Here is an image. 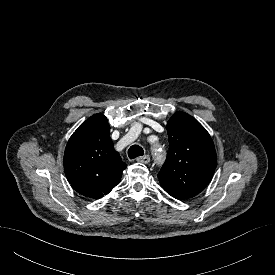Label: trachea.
Instances as JSON below:
<instances>
[{
    "instance_id": "3493384b",
    "label": "trachea",
    "mask_w": 275,
    "mask_h": 275,
    "mask_svg": "<svg viewBox=\"0 0 275 275\" xmlns=\"http://www.w3.org/2000/svg\"><path fill=\"white\" fill-rule=\"evenodd\" d=\"M143 154H144L143 148L138 145H132L128 150V156L130 159H134L138 156H142Z\"/></svg>"
}]
</instances>
